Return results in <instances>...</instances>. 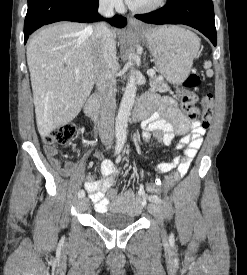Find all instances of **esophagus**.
<instances>
[{
  "label": "esophagus",
  "mask_w": 247,
  "mask_h": 275,
  "mask_svg": "<svg viewBox=\"0 0 247 275\" xmlns=\"http://www.w3.org/2000/svg\"><path fill=\"white\" fill-rule=\"evenodd\" d=\"M128 25L129 27H140V28L144 27V25L141 22H139L137 19L133 17L128 18Z\"/></svg>",
  "instance_id": "1"
}]
</instances>
